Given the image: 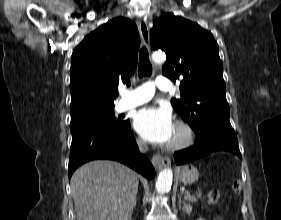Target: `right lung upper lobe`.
I'll list each match as a JSON object with an SVG mask.
<instances>
[{"instance_id":"right-lung-upper-lobe-1","label":"right lung upper lobe","mask_w":281,"mask_h":220,"mask_svg":"<svg viewBox=\"0 0 281 220\" xmlns=\"http://www.w3.org/2000/svg\"><path fill=\"white\" fill-rule=\"evenodd\" d=\"M139 46L137 26L122 17L83 39L71 60V119L114 108L118 84H130Z\"/></svg>"}]
</instances>
